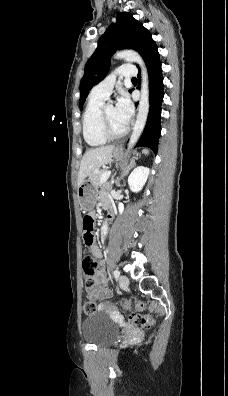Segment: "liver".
Instances as JSON below:
<instances>
[{
  "mask_svg": "<svg viewBox=\"0 0 228 396\" xmlns=\"http://www.w3.org/2000/svg\"><path fill=\"white\" fill-rule=\"evenodd\" d=\"M114 149L115 146L109 145L87 150L81 160L77 185L80 186L88 175L108 164Z\"/></svg>",
  "mask_w": 228,
  "mask_h": 396,
  "instance_id": "6515ba94",
  "label": "liver"
}]
</instances>
